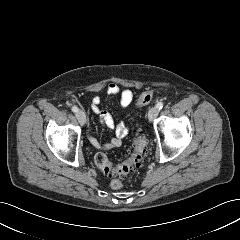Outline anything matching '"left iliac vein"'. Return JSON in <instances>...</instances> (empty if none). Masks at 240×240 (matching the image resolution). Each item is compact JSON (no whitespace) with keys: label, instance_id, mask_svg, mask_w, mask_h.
I'll return each mask as SVG.
<instances>
[{"label":"left iliac vein","instance_id":"left-iliac-vein-1","mask_svg":"<svg viewBox=\"0 0 240 240\" xmlns=\"http://www.w3.org/2000/svg\"><path fill=\"white\" fill-rule=\"evenodd\" d=\"M159 114V109L155 106L149 109L148 111V119L153 121Z\"/></svg>","mask_w":240,"mask_h":240}]
</instances>
